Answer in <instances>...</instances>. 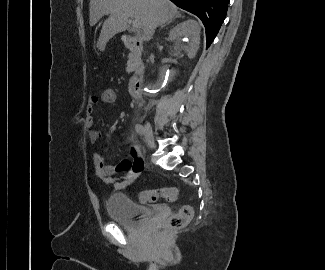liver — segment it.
I'll return each mask as SVG.
<instances>
[{
  "label": "liver",
  "instance_id": "obj_1",
  "mask_svg": "<svg viewBox=\"0 0 325 270\" xmlns=\"http://www.w3.org/2000/svg\"><path fill=\"white\" fill-rule=\"evenodd\" d=\"M89 11L90 25L109 14L99 36L97 47L100 50L114 35L127 29L129 17L139 21L142 37L149 41L158 26L178 14V8L169 0H90Z\"/></svg>",
  "mask_w": 325,
  "mask_h": 270
}]
</instances>
